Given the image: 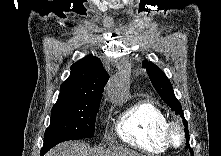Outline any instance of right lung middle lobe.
<instances>
[{
    "label": "right lung middle lobe",
    "instance_id": "1",
    "mask_svg": "<svg viewBox=\"0 0 221 156\" xmlns=\"http://www.w3.org/2000/svg\"><path fill=\"white\" fill-rule=\"evenodd\" d=\"M100 101L101 98L95 97L56 103L51 111L50 126L44 134L40 156L60 142L93 137Z\"/></svg>",
    "mask_w": 221,
    "mask_h": 156
}]
</instances>
